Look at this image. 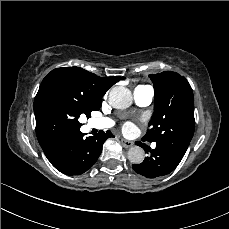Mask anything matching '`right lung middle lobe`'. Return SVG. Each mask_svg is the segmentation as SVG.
<instances>
[{
	"label": "right lung middle lobe",
	"mask_w": 229,
	"mask_h": 229,
	"mask_svg": "<svg viewBox=\"0 0 229 229\" xmlns=\"http://www.w3.org/2000/svg\"><path fill=\"white\" fill-rule=\"evenodd\" d=\"M101 103L92 102L76 88L52 82L38 91L34 100L36 130L46 139L58 141L80 130L78 121L84 114L99 110Z\"/></svg>",
	"instance_id": "dd1d6c3e"
}]
</instances>
